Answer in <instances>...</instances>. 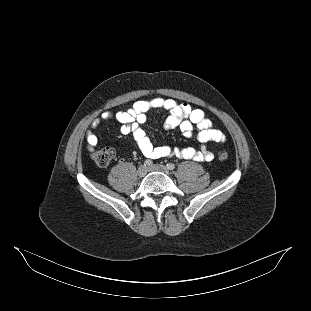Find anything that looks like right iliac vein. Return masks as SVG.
<instances>
[{
  "instance_id": "obj_1",
  "label": "right iliac vein",
  "mask_w": 311,
  "mask_h": 311,
  "mask_svg": "<svg viewBox=\"0 0 311 311\" xmlns=\"http://www.w3.org/2000/svg\"><path fill=\"white\" fill-rule=\"evenodd\" d=\"M139 177H144L147 173V167L145 165H141L137 171Z\"/></svg>"
}]
</instances>
